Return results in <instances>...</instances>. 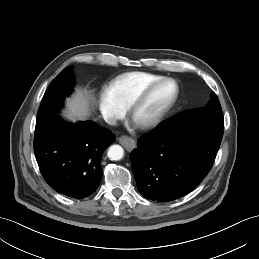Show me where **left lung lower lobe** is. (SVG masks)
Masks as SVG:
<instances>
[{
  "label": "left lung lower lobe",
  "instance_id": "left-lung-lower-lobe-1",
  "mask_svg": "<svg viewBox=\"0 0 259 259\" xmlns=\"http://www.w3.org/2000/svg\"><path fill=\"white\" fill-rule=\"evenodd\" d=\"M223 131V118L190 115L142 136L130 153L140 194L167 202L190 193L212 168Z\"/></svg>",
  "mask_w": 259,
  "mask_h": 259
}]
</instances>
